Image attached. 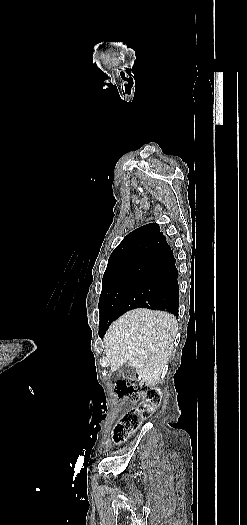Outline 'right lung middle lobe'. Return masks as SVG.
<instances>
[{"label": "right lung middle lobe", "instance_id": "dd1d6c3e", "mask_svg": "<svg viewBox=\"0 0 247 525\" xmlns=\"http://www.w3.org/2000/svg\"><path fill=\"white\" fill-rule=\"evenodd\" d=\"M155 256L142 260L136 266L119 270L105 271L102 279V292L99 299V326L109 327L111 322L119 317L118 309L137 280L144 274L153 262Z\"/></svg>", "mask_w": 247, "mask_h": 525}]
</instances>
